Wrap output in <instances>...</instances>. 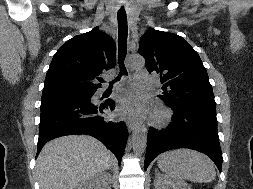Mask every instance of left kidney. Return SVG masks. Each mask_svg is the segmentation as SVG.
I'll use <instances>...</instances> for the list:
<instances>
[{
  "label": "left kidney",
  "instance_id": "5707ae66",
  "mask_svg": "<svg viewBox=\"0 0 253 189\" xmlns=\"http://www.w3.org/2000/svg\"><path fill=\"white\" fill-rule=\"evenodd\" d=\"M155 189H191V187L182 180H173L166 175L158 174L154 181Z\"/></svg>",
  "mask_w": 253,
  "mask_h": 189
}]
</instances>
